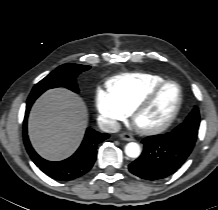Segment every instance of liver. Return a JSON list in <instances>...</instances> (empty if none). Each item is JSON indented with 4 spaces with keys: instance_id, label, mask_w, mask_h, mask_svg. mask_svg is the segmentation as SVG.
<instances>
[{
    "instance_id": "obj_1",
    "label": "liver",
    "mask_w": 218,
    "mask_h": 210,
    "mask_svg": "<svg viewBox=\"0 0 218 210\" xmlns=\"http://www.w3.org/2000/svg\"><path fill=\"white\" fill-rule=\"evenodd\" d=\"M87 122V107L78 95L65 88L51 89L33 105L28 134L42 157L62 160L80 145Z\"/></svg>"
}]
</instances>
